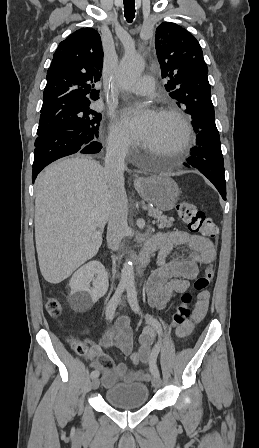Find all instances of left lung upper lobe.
Listing matches in <instances>:
<instances>
[{
    "instance_id": "left-lung-upper-lobe-1",
    "label": "left lung upper lobe",
    "mask_w": 259,
    "mask_h": 448,
    "mask_svg": "<svg viewBox=\"0 0 259 448\" xmlns=\"http://www.w3.org/2000/svg\"><path fill=\"white\" fill-rule=\"evenodd\" d=\"M155 48L162 78L177 105H185L195 132L215 129L208 68L194 36L181 26L163 22L156 29Z\"/></svg>"
}]
</instances>
